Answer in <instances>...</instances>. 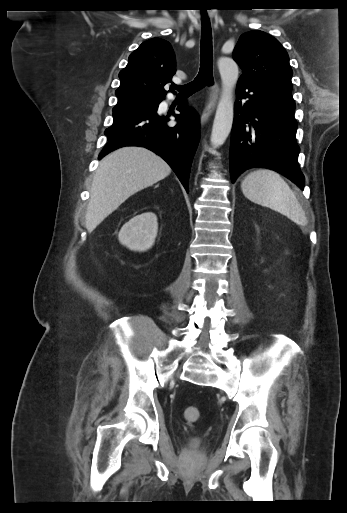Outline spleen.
I'll use <instances>...</instances> for the list:
<instances>
[{
	"mask_svg": "<svg viewBox=\"0 0 347 513\" xmlns=\"http://www.w3.org/2000/svg\"><path fill=\"white\" fill-rule=\"evenodd\" d=\"M241 190L250 201L269 207L300 225H305V212L285 180L268 169L250 172L241 182Z\"/></svg>",
	"mask_w": 347,
	"mask_h": 513,
	"instance_id": "3e777b00",
	"label": "spleen"
}]
</instances>
